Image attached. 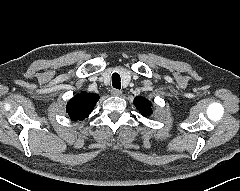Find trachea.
<instances>
[{
	"instance_id": "trachea-1",
	"label": "trachea",
	"mask_w": 240,
	"mask_h": 191,
	"mask_svg": "<svg viewBox=\"0 0 240 191\" xmlns=\"http://www.w3.org/2000/svg\"><path fill=\"white\" fill-rule=\"evenodd\" d=\"M112 85L116 89L121 88V79H120V75L118 73H114L112 75Z\"/></svg>"
}]
</instances>
